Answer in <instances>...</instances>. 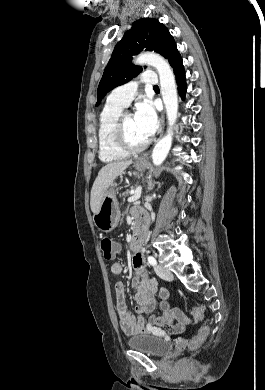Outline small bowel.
I'll return each instance as SVG.
<instances>
[{
	"label": "small bowel",
	"mask_w": 265,
	"mask_h": 390,
	"mask_svg": "<svg viewBox=\"0 0 265 390\" xmlns=\"http://www.w3.org/2000/svg\"><path fill=\"white\" fill-rule=\"evenodd\" d=\"M133 215L135 218L146 216L144 211L138 208L133 210ZM115 251L116 254L121 251L119 244H115ZM132 267V286L136 288L135 311L137 316H133L128 311L124 283L117 282L115 284L116 314L120 327L126 334L163 335L166 331L169 333H181L191 325L190 318L180 309L171 306L170 294L166 288L159 290L161 314H152L156 307L155 294L158 292L157 283L145 269V260L141 253H136L133 256ZM111 272L114 275L122 274V264L114 262L111 265ZM145 315H150L147 321L145 320Z\"/></svg>",
	"instance_id": "small-bowel-1"
}]
</instances>
